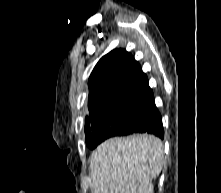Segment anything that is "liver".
Instances as JSON below:
<instances>
[{
	"label": "liver",
	"mask_w": 221,
	"mask_h": 193,
	"mask_svg": "<svg viewBox=\"0 0 221 193\" xmlns=\"http://www.w3.org/2000/svg\"><path fill=\"white\" fill-rule=\"evenodd\" d=\"M93 193H153V179L160 174L163 143L154 135L114 137L90 156Z\"/></svg>",
	"instance_id": "obj_1"
}]
</instances>
